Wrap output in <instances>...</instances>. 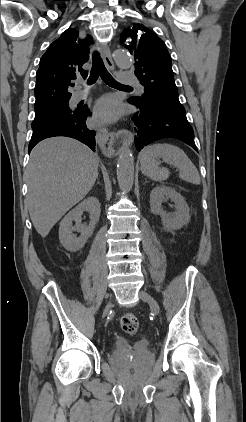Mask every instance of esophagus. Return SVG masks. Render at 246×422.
Wrapping results in <instances>:
<instances>
[{"label": "esophagus", "mask_w": 246, "mask_h": 422, "mask_svg": "<svg viewBox=\"0 0 246 422\" xmlns=\"http://www.w3.org/2000/svg\"><path fill=\"white\" fill-rule=\"evenodd\" d=\"M99 50L105 65L110 69H114V62L112 60L110 49L106 45H100ZM97 141L106 155H113L115 153V146L118 143V138L108 131L106 127H102L98 130Z\"/></svg>", "instance_id": "obj_1"}]
</instances>
